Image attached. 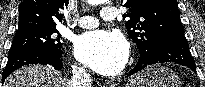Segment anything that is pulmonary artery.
Segmentation results:
<instances>
[{"instance_id":"1","label":"pulmonary artery","mask_w":205,"mask_h":87,"mask_svg":"<svg viewBox=\"0 0 205 87\" xmlns=\"http://www.w3.org/2000/svg\"><path fill=\"white\" fill-rule=\"evenodd\" d=\"M101 18L105 21H114L117 17V10L113 7H104L101 10ZM78 26L82 28H95L99 24V20L93 16H82L77 21Z\"/></svg>"}]
</instances>
